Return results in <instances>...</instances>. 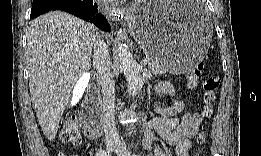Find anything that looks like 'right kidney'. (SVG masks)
I'll list each match as a JSON object with an SVG mask.
<instances>
[{
    "label": "right kidney",
    "mask_w": 261,
    "mask_h": 156,
    "mask_svg": "<svg viewBox=\"0 0 261 156\" xmlns=\"http://www.w3.org/2000/svg\"><path fill=\"white\" fill-rule=\"evenodd\" d=\"M85 86H86V82H84V83L82 84V88H81V92H80V94L83 92Z\"/></svg>",
    "instance_id": "obj_1"
}]
</instances>
